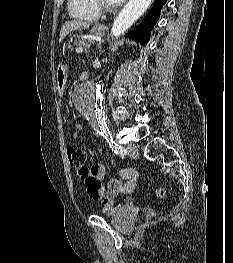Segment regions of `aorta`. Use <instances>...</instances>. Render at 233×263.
Here are the masks:
<instances>
[{
  "label": "aorta",
  "instance_id": "aorta-1",
  "mask_svg": "<svg viewBox=\"0 0 233 263\" xmlns=\"http://www.w3.org/2000/svg\"><path fill=\"white\" fill-rule=\"evenodd\" d=\"M153 0H130L118 14L111 28L112 36L118 38L141 17ZM103 90L100 76L79 86L76 106L90 122L96 123L101 131L107 130L103 109Z\"/></svg>",
  "mask_w": 233,
  "mask_h": 263
}]
</instances>
